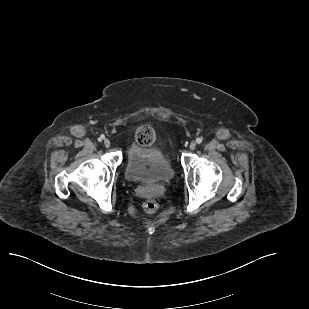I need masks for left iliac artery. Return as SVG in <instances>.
<instances>
[{
	"label": "left iliac artery",
	"mask_w": 309,
	"mask_h": 309,
	"mask_svg": "<svg viewBox=\"0 0 309 309\" xmlns=\"http://www.w3.org/2000/svg\"><path fill=\"white\" fill-rule=\"evenodd\" d=\"M202 140H203V139H202L201 137H198V138H196V143H197V144H200V143H202Z\"/></svg>",
	"instance_id": "1"
}]
</instances>
